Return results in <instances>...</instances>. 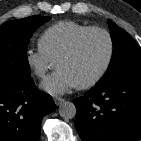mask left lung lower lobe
Instances as JSON below:
<instances>
[{"instance_id": "0a47b994", "label": "left lung lower lobe", "mask_w": 141, "mask_h": 141, "mask_svg": "<svg viewBox=\"0 0 141 141\" xmlns=\"http://www.w3.org/2000/svg\"><path fill=\"white\" fill-rule=\"evenodd\" d=\"M73 103L82 141L141 139V75L95 85Z\"/></svg>"}]
</instances>
